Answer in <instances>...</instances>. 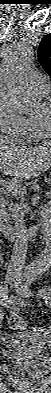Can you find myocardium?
<instances>
[{"label":"myocardium","mask_w":51,"mask_h":393,"mask_svg":"<svg viewBox=\"0 0 51 393\" xmlns=\"http://www.w3.org/2000/svg\"><path fill=\"white\" fill-rule=\"evenodd\" d=\"M46 109V115L35 116L37 124L45 137L51 136V98L43 102Z\"/></svg>","instance_id":"obj_1"}]
</instances>
